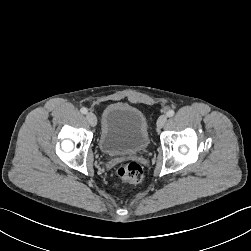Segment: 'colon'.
I'll list each match as a JSON object with an SVG mask.
<instances>
[{"instance_id": "colon-1", "label": "colon", "mask_w": 251, "mask_h": 251, "mask_svg": "<svg viewBox=\"0 0 251 251\" xmlns=\"http://www.w3.org/2000/svg\"><path fill=\"white\" fill-rule=\"evenodd\" d=\"M116 175L123 183L138 184L143 178V170L138 163L129 162L119 166Z\"/></svg>"}]
</instances>
